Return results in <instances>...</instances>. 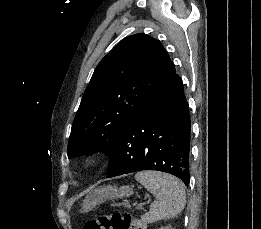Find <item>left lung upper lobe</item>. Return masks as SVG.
<instances>
[{
    "label": "left lung upper lobe",
    "mask_w": 261,
    "mask_h": 229,
    "mask_svg": "<svg viewBox=\"0 0 261 229\" xmlns=\"http://www.w3.org/2000/svg\"><path fill=\"white\" fill-rule=\"evenodd\" d=\"M175 73L162 44L146 34L118 43L97 65L73 121L68 157L109 156L142 104Z\"/></svg>",
    "instance_id": "obj_1"
}]
</instances>
